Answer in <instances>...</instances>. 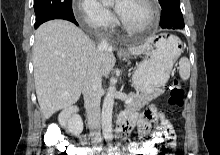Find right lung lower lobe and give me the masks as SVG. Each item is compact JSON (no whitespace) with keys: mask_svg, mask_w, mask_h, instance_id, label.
<instances>
[{"mask_svg":"<svg viewBox=\"0 0 220 155\" xmlns=\"http://www.w3.org/2000/svg\"><path fill=\"white\" fill-rule=\"evenodd\" d=\"M52 19H65V20L71 21V22L75 23L76 25H78V23L76 22L74 16L67 15V14H64V13H55V14H51L49 16H46V17L36 21L34 27L38 28L42 23H44L48 20H52Z\"/></svg>","mask_w":220,"mask_h":155,"instance_id":"1","label":"right lung lower lobe"}]
</instances>
